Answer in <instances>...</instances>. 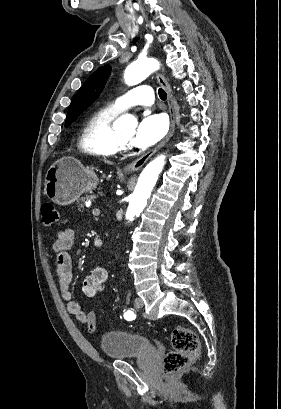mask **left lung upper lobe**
<instances>
[{"label": "left lung upper lobe", "mask_w": 281, "mask_h": 409, "mask_svg": "<svg viewBox=\"0 0 281 409\" xmlns=\"http://www.w3.org/2000/svg\"><path fill=\"white\" fill-rule=\"evenodd\" d=\"M111 67L105 65L96 70L78 90L72 100L65 122L68 127L84 110L87 109L100 95L110 75Z\"/></svg>", "instance_id": "5c2ea615"}]
</instances>
